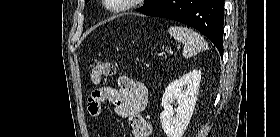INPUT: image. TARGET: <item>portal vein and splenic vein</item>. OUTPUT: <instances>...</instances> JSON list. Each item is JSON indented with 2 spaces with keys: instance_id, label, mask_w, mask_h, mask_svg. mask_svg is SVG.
<instances>
[{
  "instance_id": "obj_1",
  "label": "portal vein and splenic vein",
  "mask_w": 280,
  "mask_h": 137,
  "mask_svg": "<svg viewBox=\"0 0 280 137\" xmlns=\"http://www.w3.org/2000/svg\"><path fill=\"white\" fill-rule=\"evenodd\" d=\"M170 54H173V51H169Z\"/></svg>"
}]
</instances>
